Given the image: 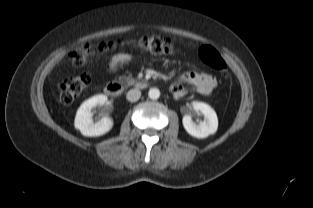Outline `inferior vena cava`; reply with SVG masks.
<instances>
[{
    "mask_svg": "<svg viewBox=\"0 0 313 208\" xmlns=\"http://www.w3.org/2000/svg\"><path fill=\"white\" fill-rule=\"evenodd\" d=\"M140 97H141V92L139 89H131L128 91L126 95L127 100L130 102H135L139 100Z\"/></svg>",
    "mask_w": 313,
    "mask_h": 208,
    "instance_id": "602c4592",
    "label": "inferior vena cava"
}]
</instances>
